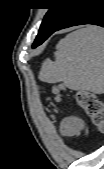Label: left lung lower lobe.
Instances as JSON below:
<instances>
[{
  "mask_svg": "<svg viewBox=\"0 0 104 169\" xmlns=\"http://www.w3.org/2000/svg\"><path fill=\"white\" fill-rule=\"evenodd\" d=\"M82 24L104 27L103 0H77L73 9L53 31L44 34L42 30H39L32 47L36 48L42 44L55 31Z\"/></svg>",
  "mask_w": 104,
  "mask_h": 169,
  "instance_id": "obj_1",
  "label": "left lung lower lobe"
}]
</instances>
